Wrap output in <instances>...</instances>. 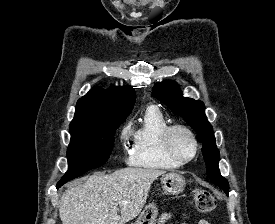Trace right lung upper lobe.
Instances as JSON below:
<instances>
[{
    "label": "right lung upper lobe",
    "instance_id": "obj_1",
    "mask_svg": "<svg viewBox=\"0 0 275 224\" xmlns=\"http://www.w3.org/2000/svg\"><path fill=\"white\" fill-rule=\"evenodd\" d=\"M134 102L135 92L132 86L112 87L110 90L93 88L78 100L70 126L125 120L133 109Z\"/></svg>",
    "mask_w": 275,
    "mask_h": 224
}]
</instances>
